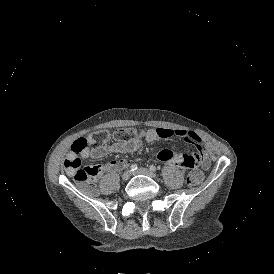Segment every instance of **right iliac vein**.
Listing matches in <instances>:
<instances>
[{
	"mask_svg": "<svg viewBox=\"0 0 274 274\" xmlns=\"http://www.w3.org/2000/svg\"><path fill=\"white\" fill-rule=\"evenodd\" d=\"M131 176V172L130 171H125L122 175V180L123 181H127Z\"/></svg>",
	"mask_w": 274,
	"mask_h": 274,
	"instance_id": "63e3f726",
	"label": "right iliac vein"
}]
</instances>
